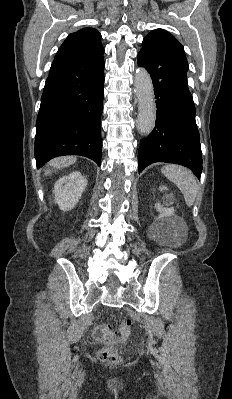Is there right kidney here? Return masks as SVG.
Segmentation results:
<instances>
[{
    "instance_id": "right-kidney-1",
    "label": "right kidney",
    "mask_w": 232,
    "mask_h": 399,
    "mask_svg": "<svg viewBox=\"0 0 232 399\" xmlns=\"http://www.w3.org/2000/svg\"><path fill=\"white\" fill-rule=\"evenodd\" d=\"M87 186L85 176L81 172H71L68 176H62L54 186L55 201L60 209L68 211L73 209Z\"/></svg>"
}]
</instances>
